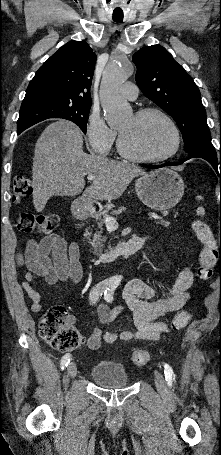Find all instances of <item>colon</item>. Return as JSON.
<instances>
[{"mask_svg":"<svg viewBox=\"0 0 221 455\" xmlns=\"http://www.w3.org/2000/svg\"><path fill=\"white\" fill-rule=\"evenodd\" d=\"M32 192L33 185L28 178L24 176L14 178L12 198L15 203H20ZM58 223L59 217L54 213L22 212L17 219L18 229L24 233L50 234L57 228ZM193 229L197 239L202 244L197 275L200 280L208 281L213 275L218 257L221 256V244L220 246L217 245L205 222L195 220ZM190 319L191 314L189 312L179 311L173 319V327L175 329L183 328ZM39 334L50 346L60 351L73 350L81 344V336L77 329L71 325L67 310L63 306H54L45 312L39 323ZM130 360L135 366H143L147 364L149 355L146 351H135Z\"/></svg>","mask_w":221,"mask_h":455,"instance_id":"colon-1","label":"colon"}]
</instances>
